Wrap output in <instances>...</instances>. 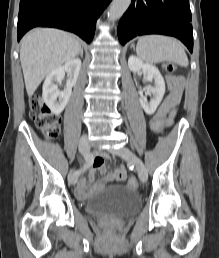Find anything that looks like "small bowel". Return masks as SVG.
<instances>
[{"instance_id": "obj_1", "label": "small bowel", "mask_w": 219, "mask_h": 258, "mask_svg": "<svg viewBox=\"0 0 219 258\" xmlns=\"http://www.w3.org/2000/svg\"><path fill=\"white\" fill-rule=\"evenodd\" d=\"M166 82L171 90V93H167V96L163 97L161 100V104L157 109L158 113H169L170 120L166 121V125L170 126L173 122V118L175 115L176 105H181V101H183V96H181L182 89L185 84V79L179 75H167ZM163 115V114H162ZM165 115V114H164ZM156 116V115H155ZM105 160L106 154H96L92 157L91 165L92 168L89 171L88 180L92 181L95 175V172L99 170L100 172H105ZM107 167H112V162L106 163ZM102 179H128L129 172L126 167H114L113 171L110 174H102ZM88 191L87 189V180L85 178H81L77 187V194L84 195Z\"/></svg>"}]
</instances>
